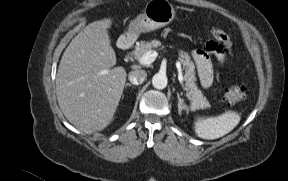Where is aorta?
I'll return each instance as SVG.
<instances>
[{
    "mask_svg": "<svg viewBox=\"0 0 288 181\" xmlns=\"http://www.w3.org/2000/svg\"><path fill=\"white\" fill-rule=\"evenodd\" d=\"M168 79L163 73H157L152 78V85L156 89H164L167 86Z\"/></svg>",
    "mask_w": 288,
    "mask_h": 181,
    "instance_id": "obj_1",
    "label": "aorta"
}]
</instances>
